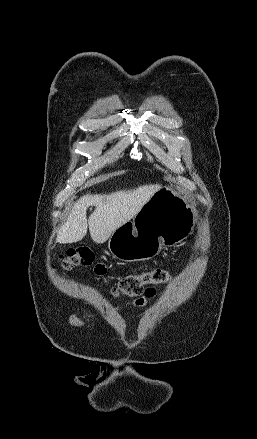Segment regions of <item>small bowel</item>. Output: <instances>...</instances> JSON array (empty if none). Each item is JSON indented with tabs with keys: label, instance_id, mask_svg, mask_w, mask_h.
Segmentation results:
<instances>
[{
	"label": "small bowel",
	"instance_id": "obj_1",
	"mask_svg": "<svg viewBox=\"0 0 257 439\" xmlns=\"http://www.w3.org/2000/svg\"><path fill=\"white\" fill-rule=\"evenodd\" d=\"M106 267L104 265H98L95 269L97 275H104L106 273ZM156 294L155 288H147L144 292V295L138 299H136L133 303L135 306H144L147 303V300L154 297Z\"/></svg>",
	"mask_w": 257,
	"mask_h": 439
}]
</instances>
